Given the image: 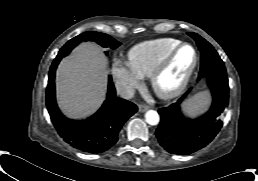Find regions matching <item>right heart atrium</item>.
Returning a JSON list of instances; mask_svg holds the SVG:
<instances>
[{"label": "right heart atrium", "instance_id": "obj_1", "mask_svg": "<svg viewBox=\"0 0 258 181\" xmlns=\"http://www.w3.org/2000/svg\"><path fill=\"white\" fill-rule=\"evenodd\" d=\"M111 73L118 92L124 97L130 96L141 85V77L119 60L112 63Z\"/></svg>", "mask_w": 258, "mask_h": 181}]
</instances>
